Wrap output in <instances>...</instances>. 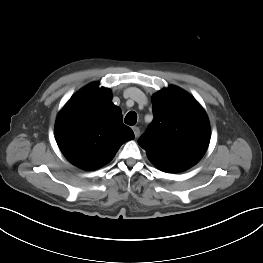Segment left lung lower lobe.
I'll use <instances>...</instances> for the list:
<instances>
[{"instance_id":"0a47b994","label":"left lung lower lobe","mask_w":263,"mask_h":263,"mask_svg":"<svg viewBox=\"0 0 263 263\" xmlns=\"http://www.w3.org/2000/svg\"><path fill=\"white\" fill-rule=\"evenodd\" d=\"M158 169L165 171V172H172V173H176V172H181L184 170H187L190 167H186V166H181V165H174V164H168V163H162V162H157V161H153L150 160Z\"/></svg>"}]
</instances>
